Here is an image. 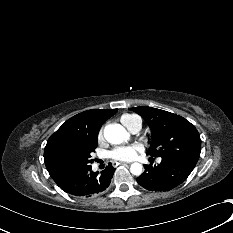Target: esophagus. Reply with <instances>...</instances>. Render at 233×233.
<instances>
[{"label":"esophagus","mask_w":233,"mask_h":233,"mask_svg":"<svg viewBox=\"0 0 233 233\" xmlns=\"http://www.w3.org/2000/svg\"><path fill=\"white\" fill-rule=\"evenodd\" d=\"M120 164H121V165H126V164H128V163H126V162H121Z\"/></svg>","instance_id":"1"}]
</instances>
